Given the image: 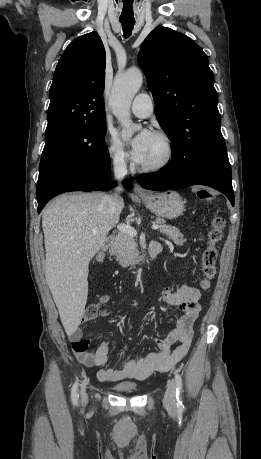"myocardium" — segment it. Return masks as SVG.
<instances>
[{
  "label": "myocardium",
  "mask_w": 261,
  "mask_h": 459,
  "mask_svg": "<svg viewBox=\"0 0 261 459\" xmlns=\"http://www.w3.org/2000/svg\"><path fill=\"white\" fill-rule=\"evenodd\" d=\"M153 135L158 137L163 142L165 153L159 161L148 165H141L140 169L144 172H157L164 169L170 164L174 155L173 141L167 133L156 131Z\"/></svg>",
  "instance_id": "obj_1"
}]
</instances>
